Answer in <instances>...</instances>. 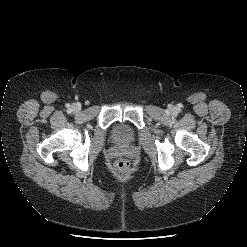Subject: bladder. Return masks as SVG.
I'll return each instance as SVG.
<instances>
[{"label": "bladder", "instance_id": "1", "mask_svg": "<svg viewBox=\"0 0 247 247\" xmlns=\"http://www.w3.org/2000/svg\"><path fill=\"white\" fill-rule=\"evenodd\" d=\"M112 139L119 144H128L135 139L134 129L124 123H118L112 128Z\"/></svg>", "mask_w": 247, "mask_h": 247}]
</instances>
